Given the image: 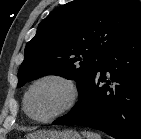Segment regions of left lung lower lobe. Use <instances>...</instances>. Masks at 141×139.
<instances>
[{
  "instance_id": "0a47b994",
  "label": "left lung lower lobe",
  "mask_w": 141,
  "mask_h": 139,
  "mask_svg": "<svg viewBox=\"0 0 141 139\" xmlns=\"http://www.w3.org/2000/svg\"><path fill=\"white\" fill-rule=\"evenodd\" d=\"M52 124L88 126L117 139H141V27L106 54L78 103Z\"/></svg>"
}]
</instances>
